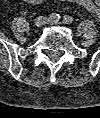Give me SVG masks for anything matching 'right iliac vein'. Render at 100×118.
Here are the masks:
<instances>
[{"label":"right iliac vein","instance_id":"63e3f726","mask_svg":"<svg viewBox=\"0 0 100 118\" xmlns=\"http://www.w3.org/2000/svg\"><path fill=\"white\" fill-rule=\"evenodd\" d=\"M48 21V19L46 17L43 16H39L35 19V25L37 27H41L42 25H44L46 22Z\"/></svg>","mask_w":100,"mask_h":118}]
</instances>
